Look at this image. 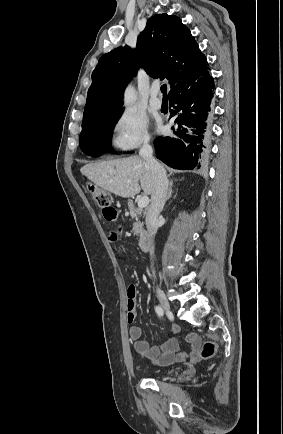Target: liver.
Segmentation results:
<instances>
[{
	"instance_id": "1",
	"label": "liver",
	"mask_w": 283,
	"mask_h": 434,
	"mask_svg": "<svg viewBox=\"0 0 283 434\" xmlns=\"http://www.w3.org/2000/svg\"><path fill=\"white\" fill-rule=\"evenodd\" d=\"M80 171L96 186L122 198L133 197L141 189L146 195L153 192L154 182L150 168L144 159L137 155L89 163Z\"/></svg>"
}]
</instances>
